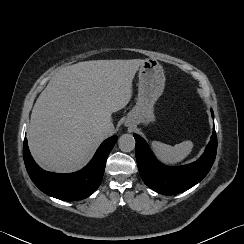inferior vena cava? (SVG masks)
I'll return each instance as SVG.
<instances>
[{
    "label": "inferior vena cava",
    "instance_id": "1",
    "mask_svg": "<svg viewBox=\"0 0 244 244\" xmlns=\"http://www.w3.org/2000/svg\"><path fill=\"white\" fill-rule=\"evenodd\" d=\"M101 133L107 137L110 136L114 132V125L113 123H104L100 128Z\"/></svg>",
    "mask_w": 244,
    "mask_h": 244
}]
</instances>
